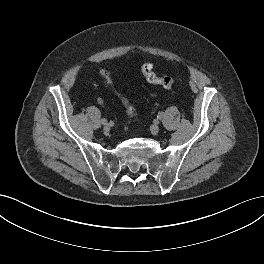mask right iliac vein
Listing matches in <instances>:
<instances>
[{
  "mask_svg": "<svg viewBox=\"0 0 264 264\" xmlns=\"http://www.w3.org/2000/svg\"><path fill=\"white\" fill-rule=\"evenodd\" d=\"M105 126H104V133L105 134H108L109 133V131H110V126H109V124H104Z\"/></svg>",
  "mask_w": 264,
  "mask_h": 264,
  "instance_id": "obj_1",
  "label": "right iliac vein"
}]
</instances>
